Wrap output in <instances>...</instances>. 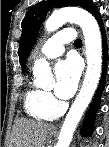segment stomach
<instances>
[{
	"instance_id": "0dacf381",
	"label": "stomach",
	"mask_w": 109,
	"mask_h": 147,
	"mask_svg": "<svg viewBox=\"0 0 109 147\" xmlns=\"http://www.w3.org/2000/svg\"><path fill=\"white\" fill-rule=\"evenodd\" d=\"M54 136V133L53 132H48V137H52Z\"/></svg>"
}]
</instances>
